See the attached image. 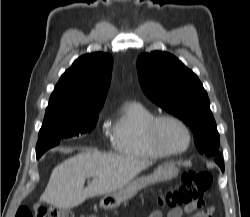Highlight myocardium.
Listing matches in <instances>:
<instances>
[{"label": "myocardium", "mask_w": 250, "mask_h": 217, "mask_svg": "<svg viewBox=\"0 0 250 217\" xmlns=\"http://www.w3.org/2000/svg\"><path fill=\"white\" fill-rule=\"evenodd\" d=\"M165 122H170L179 126L185 133L187 137V143L184 148L182 149H172L167 146L160 134L161 125ZM147 135L150 142L155 146L157 149L165 153L166 155H180L188 150L192 142L191 132L184 121L169 114H162V115H155L147 124Z\"/></svg>", "instance_id": "1"}]
</instances>
